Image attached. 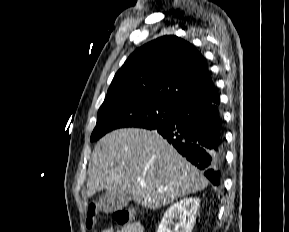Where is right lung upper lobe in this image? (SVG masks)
<instances>
[{"mask_svg": "<svg viewBox=\"0 0 289 232\" xmlns=\"http://www.w3.org/2000/svg\"><path fill=\"white\" fill-rule=\"evenodd\" d=\"M128 96L176 108L219 97L202 54L172 35L136 49L115 74L106 99Z\"/></svg>", "mask_w": 289, "mask_h": 232, "instance_id": "cb5924a9", "label": "right lung upper lobe"}]
</instances>
